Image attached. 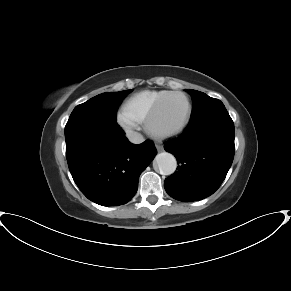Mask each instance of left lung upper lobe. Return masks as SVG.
I'll use <instances>...</instances> for the list:
<instances>
[{
  "mask_svg": "<svg viewBox=\"0 0 291 291\" xmlns=\"http://www.w3.org/2000/svg\"><path fill=\"white\" fill-rule=\"evenodd\" d=\"M188 92L193 100V114L191 122L204 117L215 110L225 108L224 104L220 100L209 97L203 92L197 90H189Z\"/></svg>",
  "mask_w": 291,
  "mask_h": 291,
  "instance_id": "left-lung-upper-lobe-1",
  "label": "left lung upper lobe"
}]
</instances>
